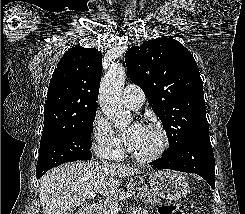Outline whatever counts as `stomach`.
I'll list each match as a JSON object with an SVG mask.
<instances>
[{
	"mask_svg": "<svg viewBox=\"0 0 245 214\" xmlns=\"http://www.w3.org/2000/svg\"><path fill=\"white\" fill-rule=\"evenodd\" d=\"M151 189L157 195L167 200H180L189 193V182L180 173L163 170L150 175Z\"/></svg>",
	"mask_w": 245,
	"mask_h": 214,
	"instance_id": "obj_1",
	"label": "stomach"
}]
</instances>
